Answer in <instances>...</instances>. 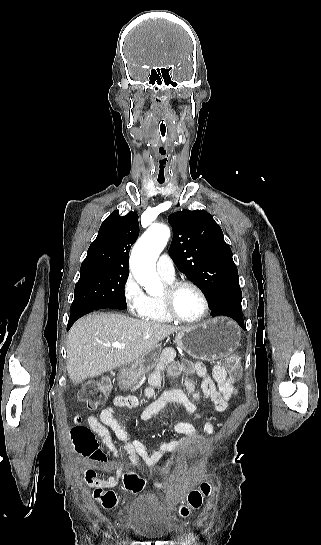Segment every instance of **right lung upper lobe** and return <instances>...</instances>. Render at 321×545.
<instances>
[{
    "mask_svg": "<svg viewBox=\"0 0 321 545\" xmlns=\"http://www.w3.org/2000/svg\"><path fill=\"white\" fill-rule=\"evenodd\" d=\"M139 235L138 215L129 212L120 216L114 211L101 224L95 241L90 245L80 269L104 268L129 271V249Z\"/></svg>",
    "mask_w": 321,
    "mask_h": 545,
    "instance_id": "obj_1",
    "label": "right lung upper lobe"
}]
</instances>
